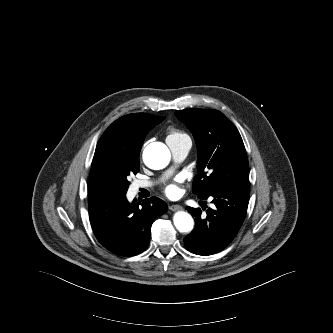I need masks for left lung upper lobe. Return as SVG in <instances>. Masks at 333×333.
I'll return each instance as SVG.
<instances>
[{
    "label": "left lung upper lobe",
    "mask_w": 333,
    "mask_h": 333,
    "mask_svg": "<svg viewBox=\"0 0 333 333\" xmlns=\"http://www.w3.org/2000/svg\"><path fill=\"white\" fill-rule=\"evenodd\" d=\"M198 147V174L192 190L206 196L227 186L249 184L246 150L237 128L221 112L206 109L177 111Z\"/></svg>",
    "instance_id": "left-lung-upper-lobe-1"
}]
</instances>
